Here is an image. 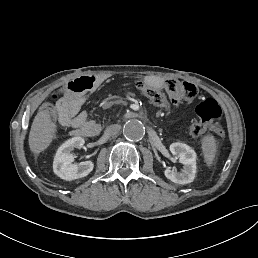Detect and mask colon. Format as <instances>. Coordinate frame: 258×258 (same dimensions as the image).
Segmentation results:
<instances>
[{
    "mask_svg": "<svg viewBox=\"0 0 258 258\" xmlns=\"http://www.w3.org/2000/svg\"><path fill=\"white\" fill-rule=\"evenodd\" d=\"M69 89L70 88L66 86L65 89L58 90L54 93L53 100L56 104ZM141 91L151 104L161 108H168L171 105L190 102L197 94L195 85L175 79L167 80L163 89H159L155 86L143 85L141 86ZM196 114L198 119L190 126V133L193 136H200L211 128L212 122L220 116L221 109L215 100L206 99L197 106ZM214 131L219 136H223L221 128L214 127Z\"/></svg>",
    "mask_w": 258,
    "mask_h": 258,
    "instance_id": "1",
    "label": "colon"
}]
</instances>
